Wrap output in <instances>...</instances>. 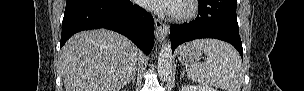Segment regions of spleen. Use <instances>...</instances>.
Here are the masks:
<instances>
[{"label":"spleen","mask_w":304,"mask_h":91,"mask_svg":"<svg viewBox=\"0 0 304 91\" xmlns=\"http://www.w3.org/2000/svg\"><path fill=\"white\" fill-rule=\"evenodd\" d=\"M207 56L206 62L193 63L187 73L194 82L222 88L225 91H241L244 70L238 52L230 44L216 39L195 41Z\"/></svg>","instance_id":"3e777b00"}]
</instances>
